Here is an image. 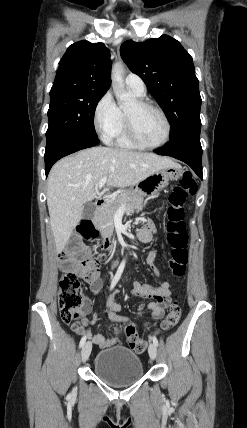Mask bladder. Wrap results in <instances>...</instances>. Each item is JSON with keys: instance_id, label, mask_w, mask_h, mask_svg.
Returning <instances> with one entry per match:
<instances>
[{"instance_id": "obj_1", "label": "bladder", "mask_w": 247, "mask_h": 428, "mask_svg": "<svg viewBox=\"0 0 247 428\" xmlns=\"http://www.w3.org/2000/svg\"><path fill=\"white\" fill-rule=\"evenodd\" d=\"M93 370L97 377L113 386L133 384L144 374L139 355L124 346L100 350L95 357Z\"/></svg>"}]
</instances>
